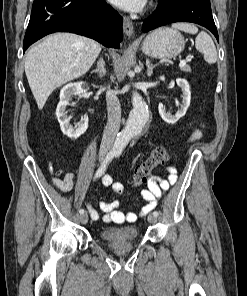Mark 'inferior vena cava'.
<instances>
[{"label":"inferior vena cava","instance_id":"obj_1","mask_svg":"<svg viewBox=\"0 0 247 296\" xmlns=\"http://www.w3.org/2000/svg\"><path fill=\"white\" fill-rule=\"evenodd\" d=\"M108 121L101 141L100 151L108 152L116 138L121 123V106L116 93L108 90L106 93Z\"/></svg>","mask_w":247,"mask_h":296}]
</instances>
